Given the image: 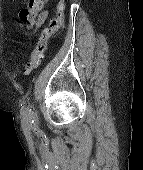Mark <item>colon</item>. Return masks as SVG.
<instances>
[{
    "label": "colon",
    "instance_id": "1",
    "mask_svg": "<svg viewBox=\"0 0 143 170\" xmlns=\"http://www.w3.org/2000/svg\"><path fill=\"white\" fill-rule=\"evenodd\" d=\"M42 2L43 0H30L28 6L20 11L19 18L24 25H29L34 21L38 11L41 9ZM63 23L64 4L63 2H58L55 8V16L50 19L48 26L39 35L36 47L31 56V61L27 68L28 73L40 66L50 37L60 32Z\"/></svg>",
    "mask_w": 143,
    "mask_h": 170
}]
</instances>
